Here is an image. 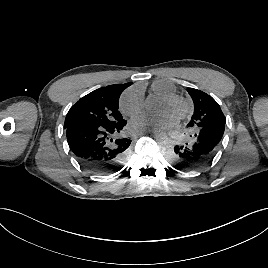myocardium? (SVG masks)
I'll return each instance as SVG.
<instances>
[{
    "label": "myocardium",
    "instance_id": "obj_1",
    "mask_svg": "<svg viewBox=\"0 0 268 268\" xmlns=\"http://www.w3.org/2000/svg\"><path fill=\"white\" fill-rule=\"evenodd\" d=\"M162 100L169 104H175L179 106L177 118L180 120L187 118L191 113L190 101L182 95L172 94L162 97Z\"/></svg>",
    "mask_w": 268,
    "mask_h": 268
}]
</instances>
